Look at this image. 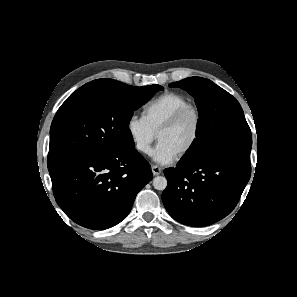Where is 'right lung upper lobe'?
Listing matches in <instances>:
<instances>
[{
    "label": "right lung upper lobe",
    "mask_w": 297,
    "mask_h": 297,
    "mask_svg": "<svg viewBox=\"0 0 297 297\" xmlns=\"http://www.w3.org/2000/svg\"><path fill=\"white\" fill-rule=\"evenodd\" d=\"M100 80H102V79H97V80L91 81V82L83 85L79 89H77L74 93L76 94V93H79V92H83V91L95 89V88H97L100 85V83H101Z\"/></svg>",
    "instance_id": "right-lung-upper-lobe-1"
}]
</instances>
